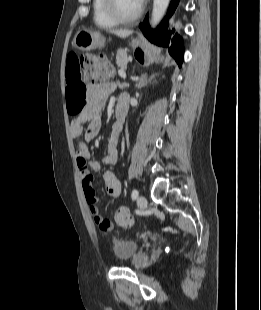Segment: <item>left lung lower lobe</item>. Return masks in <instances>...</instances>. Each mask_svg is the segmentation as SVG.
Returning a JSON list of instances; mask_svg holds the SVG:
<instances>
[{
	"label": "left lung lower lobe",
	"mask_w": 261,
	"mask_h": 310,
	"mask_svg": "<svg viewBox=\"0 0 261 310\" xmlns=\"http://www.w3.org/2000/svg\"><path fill=\"white\" fill-rule=\"evenodd\" d=\"M180 0H172L167 12V16L163 20V22L156 28L155 31H151L149 24H148V15L146 19L140 24V28L143 34L154 44L163 47H169L168 51L171 56L174 57L176 62L179 66L182 65L183 61V42L181 40L180 35L174 30L169 27L168 24V17H171Z\"/></svg>",
	"instance_id": "left-lung-lower-lobe-1"
}]
</instances>
